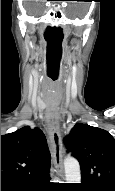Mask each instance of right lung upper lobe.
<instances>
[{
	"label": "right lung upper lobe",
	"instance_id": "right-lung-upper-lobe-1",
	"mask_svg": "<svg viewBox=\"0 0 115 191\" xmlns=\"http://www.w3.org/2000/svg\"><path fill=\"white\" fill-rule=\"evenodd\" d=\"M51 156L39 128L1 136V185H23L49 177Z\"/></svg>",
	"mask_w": 115,
	"mask_h": 191
}]
</instances>
